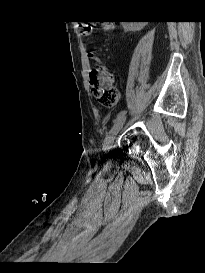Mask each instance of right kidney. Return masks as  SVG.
<instances>
[{
  "mask_svg": "<svg viewBox=\"0 0 205 273\" xmlns=\"http://www.w3.org/2000/svg\"><path fill=\"white\" fill-rule=\"evenodd\" d=\"M146 22H134V23H123L125 31H139L145 26Z\"/></svg>",
  "mask_w": 205,
  "mask_h": 273,
  "instance_id": "obj_1",
  "label": "right kidney"
}]
</instances>
